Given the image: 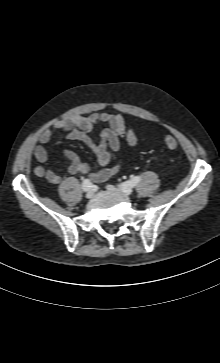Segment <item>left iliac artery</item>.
<instances>
[{"instance_id": "1", "label": "left iliac artery", "mask_w": 220, "mask_h": 363, "mask_svg": "<svg viewBox=\"0 0 220 363\" xmlns=\"http://www.w3.org/2000/svg\"><path fill=\"white\" fill-rule=\"evenodd\" d=\"M140 182L139 176H134L130 180L122 183L120 188L124 191H129L131 188L135 187Z\"/></svg>"}]
</instances>
